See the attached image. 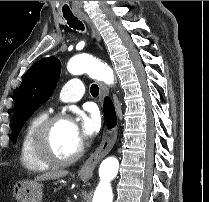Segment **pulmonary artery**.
<instances>
[{
  "instance_id": "pulmonary-artery-1",
  "label": "pulmonary artery",
  "mask_w": 209,
  "mask_h": 202,
  "mask_svg": "<svg viewBox=\"0 0 209 202\" xmlns=\"http://www.w3.org/2000/svg\"><path fill=\"white\" fill-rule=\"evenodd\" d=\"M83 80L73 79L62 86V96L65 101H77L83 95Z\"/></svg>"
}]
</instances>
